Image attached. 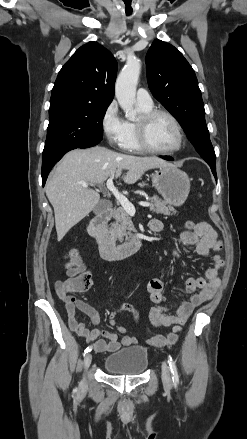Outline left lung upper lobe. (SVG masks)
Listing matches in <instances>:
<instances>
[{"label":"left lung upper lobe","mask_w":247,"mask_h":439,"mask_svg":"<svg viewBox=\"0 0 247 439\" xmlns=\"http://www.w3.org/2000/svg\"><path fill=\"white\" fill-rule=\"evenodd\" d=\"M146 69L153 96L177 119L208 165L216 167L201 91L190 64L174 46L156 39L146 55Z\"/></svg>","instance_id":"obj_1"}]
</instances>
